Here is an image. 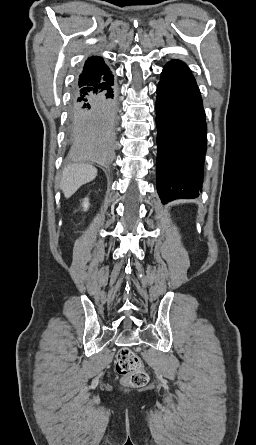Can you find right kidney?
Wrapping results in <instances>:
<instances>
[{"mask_svg":"<svg viewBox=\"0 0 256 445\" xmlns=\"http://www.w3.org/2000/svg\"><path fill=\"white\" fill-rule=\"evenodd\" d=\"M82 206L84 208V211H86L88 209V207H89V199L88 198L84 199Z\"/></svg>","mask_w":256,"mask_h":445,"instance_id":"obj_1","label":"right kidney"}]
</instances>
